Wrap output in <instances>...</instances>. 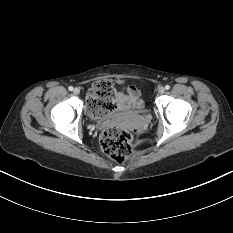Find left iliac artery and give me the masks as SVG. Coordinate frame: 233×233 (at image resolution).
<instances>
[{"label": "left iliac artery", "instance_id": "1", "mask_svg": "<svg viewBox=\"0 0 233 233\" xmlns=\"http://www.w3.org/2000/svg\"><path fill=\"white\" fill-rule=\"evenodd\" d=\"M165 89H166V90H169V89H170V86H169V85H166V86H165Z\"/></svg>", "mask_w": 233, "mask_h": 233}]
</instances>
